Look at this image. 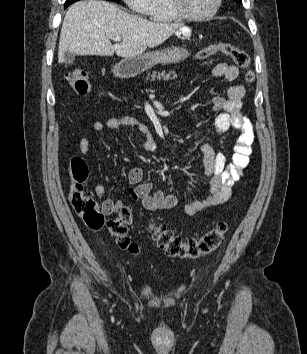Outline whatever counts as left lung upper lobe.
<instances>
[{"label": "left lung upper lobe", "instance_id": "5c2ea615", "mask_svg": "<svg viewBox=\"0 0 307 354\" xmlns=\"http://www.w3.org/2000/svg\"><path fill=\"white\" fill-rule=\"evenodd\" d=\"M234 1H236V2H238V3H241V2H242V0H234Z\"/></svg>", "mask_w": 307, "mask_h": 354}]
</instances>
